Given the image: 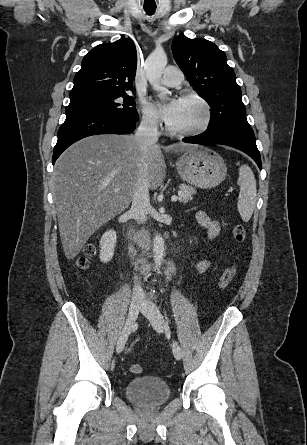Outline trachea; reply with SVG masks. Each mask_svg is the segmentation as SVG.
I'll return each instance as SVG.
<instances>
[{"mask_svg":"<svg viewBox=\"0 0 307 445\" xmlns=\"http://www.w3.org/2000/svg\"><path fill=\"white\" fill-rule=\"evenodd\" d=\"M144 10L148 15H152L155 12L156 7L144 8Z\"/></svg>","mask_w":307,"mask_h":445,"instance_id":"trachea-1","label":"trachea"}]
</instances>
